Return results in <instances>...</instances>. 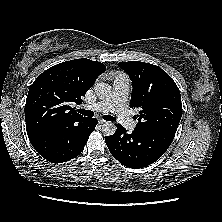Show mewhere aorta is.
Segmentation results:
<instances>
[{
    "instance_id": "aorta-1",
    "label": "aorta",
    "mask_w": 222,
    "mask_h": 222,
    "mask_svg": "<svg viewBox=\"0 0 222 222\" xmlns=\"http://www.w3.org/2000/svg\"><path fill=\"white\" fill-rule=\"evenodd\" d=\"M95 91L97 95L101 98L107 97L111 92V86L104 82H99L95 84ZM102 132L105 136H111L116 132V126L113 122H106L102 126Z\"/></svg>"
}]
</instances>
